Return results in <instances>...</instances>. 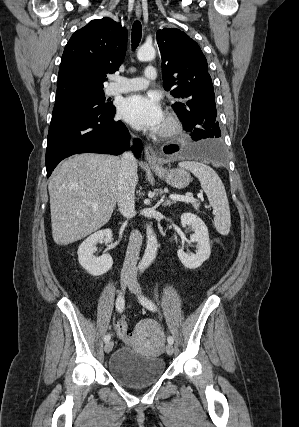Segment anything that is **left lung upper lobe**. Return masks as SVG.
Returning <instances> with one entry per match:
<instances>
[{"instance_id": "obj_1", "label": "left lung upper lobe", "mask_w": 299, "mask_h": 427, "mask_svg": "<svg viewBox=\"0 0 299 427\" xmlns=\"http://www.w3.org/2000/svg\"><path fill=\"white\" fill-rule=\"evenodd\" d=\"M156 38L162 58L164 88L177 99L173 109L179 119L187 109L204 106L213 119L212 129L221 137L214 88L199 45L175 28L158 30Z\"/></svg>"}]
</instances>
